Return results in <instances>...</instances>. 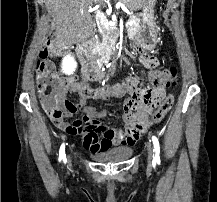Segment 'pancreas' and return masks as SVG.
<instances>
[{"instance_id":"cf45deb5","label":"pancreas","mask_w":217,"mask_h":202,"mask_svg":"<svg viewBox=\"0 0 217 202\" xmlns=\"http://www.w3.org/2000/svg\"><path fill=\"white\" fill-rule=\"evenodd\" d=\"M132 22H135V24H133V26H129L127 30L129 38H134L135 34H137L138 30H140V20H138V18L132 17ZM118 36V30H108V34H104V46L99 50L102 60H106V54H109L110 50L115 52V44L117 42Z\"/></svg>"}]
</instances>
